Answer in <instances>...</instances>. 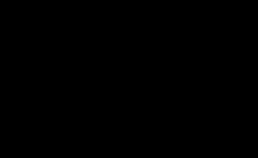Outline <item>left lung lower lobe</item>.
Listing matches in <instances>:
<instances>
[{
    "label": "left lung lower lobe",
    "instance_id": "0a47b994",
    "mask_svg": "<svg viewBox=\"0 0 258 158\" xmlns=\"http://www.w3.org/2000/svg\"><path fill=\"white\" fill-rule=\"evenodd\" d=\"M210 65L202 48L177 66L163 85L143 91L139 109L143 126L159 134H175L193 123L209 96Z\"/></svg>",
    "mask_w": 258,
    "mask_h": 158
}]
</instances>
